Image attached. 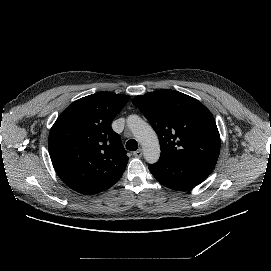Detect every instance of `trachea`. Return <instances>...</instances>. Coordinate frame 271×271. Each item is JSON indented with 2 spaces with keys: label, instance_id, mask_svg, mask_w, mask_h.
<instances>
[{
  "label": "trachea",
  "instance_id": "3493384b",
  "mask_svg": "<svg viewBox=\"0 0 271 271\" xmlns=\"http://www.w3.org/2000/svg\"><path fill=\"white\" fill-rule=\"evenodd\" d=\"M126 148L129 151H136L138 149V143L135 139H130L127 143H126Z\"/></svg>",
  "mask_w": 271,
  "mask_h": 271
}]
</instances>
